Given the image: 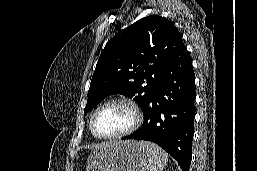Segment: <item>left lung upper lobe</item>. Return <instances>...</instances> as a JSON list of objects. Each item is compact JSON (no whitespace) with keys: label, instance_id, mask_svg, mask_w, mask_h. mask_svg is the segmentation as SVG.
<instances>
[{"label":"left lung upper lobe","instance_id":"obj_1","mask_svg":"<svg viewBox=\"0 0 257 171\" xmlns=\"http://www.w3.org/2000/svg\"><path fill=\"white\" fill-rule=\"evenodd\" d=\"M183 46L178 30L161 16H147L127 27L100 55L84 114L112 94L134 97L144 111L166 64Z\"/></svg>","mask_w":257,"mask_h":171}]
</instances>
